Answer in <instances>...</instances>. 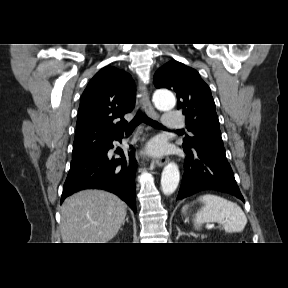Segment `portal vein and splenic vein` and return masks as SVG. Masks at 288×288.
<instances>
[{"instance_id": "18ae733b", "label": "portal vein and splenic vein", "mask_w": 288, "mask_h": 288, "mask_svg": "<svg viewBox=\"0 0 288 288\" xmlns=\"http://www.w3.org/2000/svg\"><path fill=\"white\" fill-rule=\"evenodd\" d=\"M213 227H214V224H207V225H206V228H207V229H212Z\"/></svg>"}]
</instances>
